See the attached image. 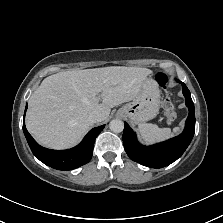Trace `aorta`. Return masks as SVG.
I'll return each instance as SVG.
<instances>
[{"mask_svg": "<svg viewBox=\"0 0 223 223\" xmlns=\"http://www.w3.org/2000/svg\"><path fill=\"white\" fill-rule=\"evenodd\" d=\"M110 130L114 133H120L124 129V123L120 119H114L109 124Z\"/></svg>", "mask_w": 223, "mask_h": 223, "instance_id": "1", "label": "aorta"}]
</instances>
